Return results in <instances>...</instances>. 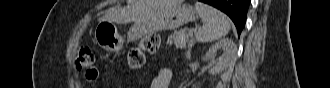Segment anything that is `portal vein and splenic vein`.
<instances>
[{
	"mask_svg": "<svg viewBox=\"0 0 330 88\" xmlns=\"http://www.w3.org/2000/svg\"><path fill=\"white\" fill-rule=\"evenodd\" d=\"M189 36H190V37H193V33H192V32H190V33H189Z\"/></svg>",
	"mask_w": 330,
	"mask_h": 88,
	"instance_id": "1",
	"label": "portal vein and splenic vein"
}]
</instances>
